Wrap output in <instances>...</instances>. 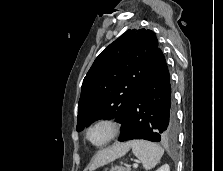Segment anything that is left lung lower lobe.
Wrapping results in <instances>:
<instances>
[{
    "label": "left lung lower lobe",
    "mask_w": 223,
    "mask_h": 171,
    "mask_svg": "<svg viewBox=\"0 0 223 171\" xmlns=\"http://www.w3.org/2000/svg\"><path fill=\"white\" fill-rule=\"evenodd\" d=\"M121 130L119 141L144 139L153 142H174L176 140L177 120L170 75L160 48L131 103Z\"/></svg>",
    "instance_id": "0a47b994"
}]
</instances>
